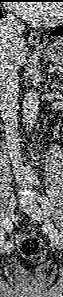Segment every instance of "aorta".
<instances>
[{
  "mask_svg": "<svg viewBox=\"0 0 63 297\" xmlns=\"http://www.w3.org/2000/svg\"><path fill=\"white\" fill-rule=\"evenodd\" d=\"M39 111V98L34 90H29L23 100V124L26 130H31L36 122Z\"/></svg>",
  "mask_w": 63,
  "mask_h": 297,
  "instance_id": "obj_1",
  "label": "aorta"
}]
</instances>
